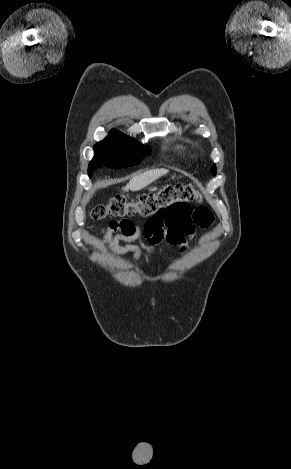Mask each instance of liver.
I'll use <instances>...</instances> for the list:
<instances>
[{
	"label": "liver",
	"instance_id": "liver-1",
	"mask_svg": "<svg viewBox=\"0 0 291 469\" xmlns=\"http://www.w3.org/2000/svg\"><path fill=\"white\" fill-rule=\"evenodd\" d=\"M169 171L167 169H154L146 171L142 174H139L133 177L129 183L123 188L124 191H138L147 185L151 184L153 181L157 180L159 177L166 175Z\"/></svg>",
	"mask_w": 291,
	"mask_h": 469
}]
</instances>
